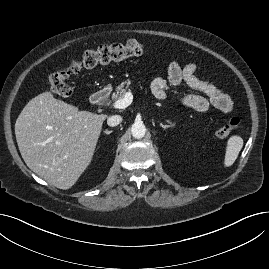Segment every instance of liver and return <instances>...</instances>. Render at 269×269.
Listing matches in <instances>:
<instances>
[{"mask_svg": "<svg viewBox=\"0 0 269 269\" xmlns=\"http://www.w3.org/2000/svg\"><path fill=\"white\" fill-rule=\"evenodd\" d=\"M107 115L79 110L44 92L31 99L15 123L26 165L53 186L67 190L90 165Z\"/></svg>", "mask_w": 269, "mask_h": 269, "instance_id": "6515ba94", "label": "liver"}]
</instances>
